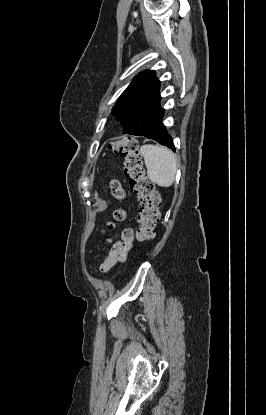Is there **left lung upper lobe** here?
<instances>
[{"instance_id":"5c2ea615","label":"left lung upper lobe","mask_w":266,"mask_h":415,"mask_svg":"<svg viewBox=\"0 0 266 415\" xmlns=\"http://www.w3.org/2000/svg\"><path fill=\"white\" fill-rule=\"evenodd\" d=\"M160 82L154 71L137 75L113 107L124 133L141 135L161 127L164 110L160 107Z\"/></svg>"}]
</instances>
